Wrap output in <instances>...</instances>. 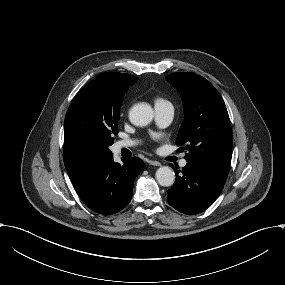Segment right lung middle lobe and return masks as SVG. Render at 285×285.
<instances>
[{
	"instance_id": "right-lung-middle-lobe-1",
	"label": "right lung middle lobe",
	"mask_w": 285,
	"mask_h": 285,
	"mask_svg": "<svg viewBox=\"0 0 285 285\" xmlns=\"http://www.w3.org/2000/svg\"><path fill=\"white\" fill-rule=\"evenodd\" d=\"M123 97L101 107H86L73 101L65 117L64 147L80 152L111 153L109 146L119 130V110Z\"/></svg>"
}]
</instances>
